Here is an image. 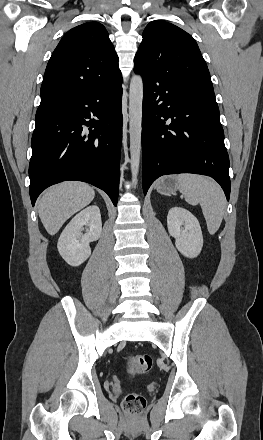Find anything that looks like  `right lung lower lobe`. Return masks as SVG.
I'll list each match as a JSON object with an SVG mask.
<instances>
[{
	"label": "right lung lower lobe",
	"instance_id": "98d812e1",
	"mask_svg": "<svg viewBox=\"0 0 263 440\" xmlns=\"http://www.w3.org/2000/svg\"><path fill=\"white\" fill-rule=\"evenodd\" d=\"M122 77L66 96L35 120L29 164L32 205L47 187L90 183L117 205L122 139Z\"/></svg>",
	"mask_w": 263,
	"mask_h": 440
}]
</instances>
